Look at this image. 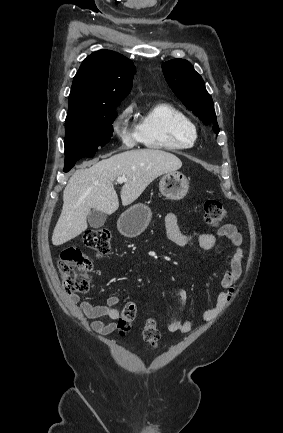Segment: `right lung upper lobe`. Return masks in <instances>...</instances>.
Returning a JSON list of instances; mask_svg holds the SVG:
<instances>
[{"label":"right lung upper lobe","mask_w":283,"mask_h":433,"mask_svg":"<svg viewBox=\"0 0 283 433\" xmlns=\"http://www.w3.org/2000/svg\"><path fill=\"white\" fill-rule=\"evenodd\" d=\"M135 69L125 56L100 50L82 62L72 83L69 109L120 105L130 92Z\"/></svg>","instance_id":"obj_1"}]
</instances>
